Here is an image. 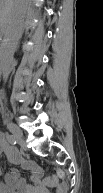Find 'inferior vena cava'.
<instances>
[{
    "label": "inferior vena cava",
    "mask_w": 103,
    "mask_h": 193,
    "mask_svg": "<svg viewBox=\"0 0 103 193\" xmlns=\"http://www.w3.org/2000/svg\"><path fill=\"white\" fill-rule=\"evenodd\" d=\"M21 34V21L19 12L16 14L14 21L11 25L10 32L8 36L4 39L1 45V68L3 79H7L9 74V68L11 61L13 60V55L16 50L18 40Z\"/></svg>",
    "instance_id": "1"
}]
</instances>
